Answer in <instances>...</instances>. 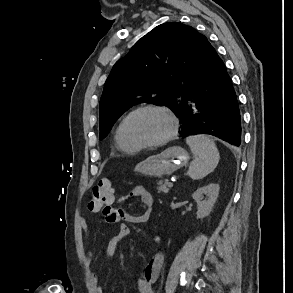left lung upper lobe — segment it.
<instances>
[{"mask_svg": "<svg viewBox=\"0 0 293 293\" xmlns=\"http://www.w3.org/2000/svg\"><path fill=\"white\" fill-rule=\"evenodd\" d=\"M212 45L194 28L164 23L143 36L108 76L100 100V136L140 103L167 106L175 114L181 101L204 77Z\"/></svg>", "mask_w": 293, "mask_h": 293, "instance_id": "5c2ea615", "label": "left lung upper lobe"}]
</instances>
